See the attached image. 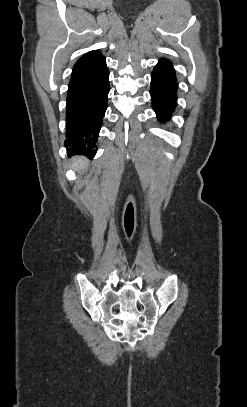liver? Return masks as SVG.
I'll return each instance as SVG.
<instances>
[{
  "label": "liver",
  "instance_id": "liver-1",
  "mask_svg": "<svg viewBox=\"0 0 247 407\" xmlns=\"http://www.w3.org/2000/svg\"><path fill=\"white\" fill-rule=\"evenodd\" d=\"M73 164H74V167L76 168V169H80V170H83V169H85L86 168V164H87V162H86V160L83 158V157H74L73 158Z\"/></svg>",
  "mask_w": 247,
  "mask_h": 407
}]
</instances>
